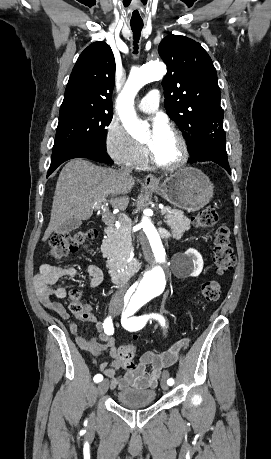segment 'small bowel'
Returning a JSON list of instances; mask_svg holds the SVG:
<instances>
[{
  "instance_id": "1",
  "label": "small bowel",
  "mask_w": 271,
  "mask_h": 459,
  "mask_svg": "<svg viewBox=\"0 0 271 459\" xmlns=\"http://www.w3.org/2000/svg\"><path fill=\"white\" fill-rule=\"evenodd\" d=\"M85 272L91 278L90 288H95L101 284L103 274L98 267L90 265L85 269ZM78 274V269L72 266L42 265L40 272L34 278L35 292L41 304L67 321L69 331L74 335L75 341L81 349L89 351L95 357L104 353L110 356L111 360L99 364L98 369L108 379L111 389H123L129 386L156 387L162 371L176 362L180 350L188 345L189 340L181 339L161 353L144 352L133 368H127L119 357L115 339L105 333L103 323L96 320L90 306H85L86 315L81 318L93 322L98 334L91 338H85L79 334L77 325L69 321V315L64 306L51 300V297L66 298L67 289L54 285L62 278L76 277ZM119 370H124V372L118 375Z\"/></svg>"
}]
</instances>
